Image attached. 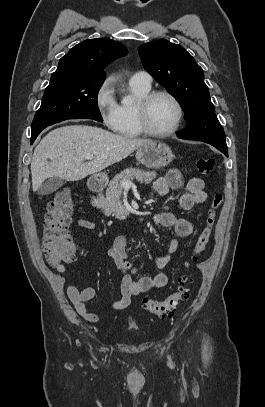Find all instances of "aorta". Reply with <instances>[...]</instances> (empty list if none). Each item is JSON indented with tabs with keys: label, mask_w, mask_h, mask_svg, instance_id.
Returning a JSON list of instances; mask_svg holds the SVG:
<instances>
[{
	"label": "aorta",
	"mask_w": 265,
	"mask_h": 407,
	"mask_svg": "<svg viewBox=\"0 0 265 407\" xmlns=\"http://www.w3.org/2000/svg\"><path fill=\"white\" fill-rule=\"evenodd\" d=\"M131 102H132L131 97H124L123 98V103L128 104V103H131Z\"/></svg>",
	"instance_id": "1"
}]
</instances>
